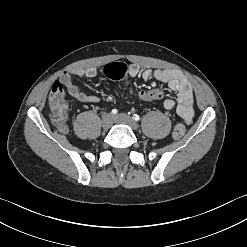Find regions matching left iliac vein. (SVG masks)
<instances>
[{"mask_svg": "<svg viewBox=\"0 0 247 247\" xmlns=\"http://www.w3.org/2000/svg\"><path fill=\"white\" fill-rule=\"evenodd\" d=\"M114 122L118 124H126L130 126L133 130L138 129V124L128 115L121 113L114 117Z\"/></svg>", "mask_w": 247, "mask_h": 247, "instance_id": "left-iliac-vein-1", "label": "left iliac vein"}]
</instances>
